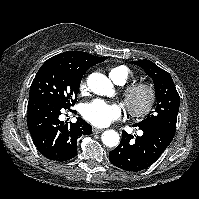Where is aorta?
<instances>
[{
	"mask_svg": "<svg viewBox=\"0 0 199 199\" xmlns=\"http://www.w3.org/2000/svg\"><path fill=\"white\" fill-rule=\"evenodd\" d=\"M87 84L92 92L97 95H109L113 90L111 81L101 73H92L87 79ZM102 142L108 147H115L120 142L119 134L114 130H107L102 134Z\"/></svg>",
	"mask_w": 199,
	"mask_h": 199,
	"instance_id": "obj_1",
	"label": "aorta"
}]
</instances>
